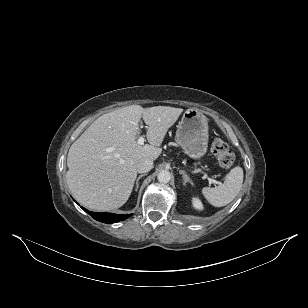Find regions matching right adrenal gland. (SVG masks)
Wrapping results in <instances>:
<instances>
[{"instance_id": "1", "label": "right adrenal gland", "mask_w": 308, "mask_h": 308, "mask_svg": "<svg viewBox=\"0 0 308 308\" xmlns=\"http://www.w3.org/2000/svg\"><path fill=\"white\" fill-rule=\"evenodd\" d=\"M144 176H146V174H141V175H139L138 176V178H137V180H136V191L138 190V188H139V180L142 178V177H144Z\"/></svg>"}]
</instances>
